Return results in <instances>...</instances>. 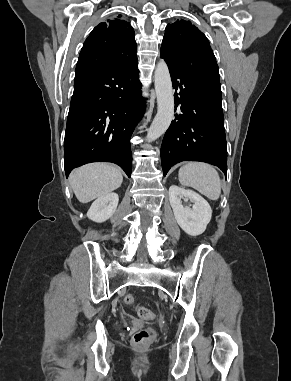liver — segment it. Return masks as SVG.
I'll return each mask as SVG.
<instances>
[{"instance_id":"1","label":"liver","mask_w":291,"mask_h":381,"mask_svg":"<svg viewBox=\"0 0 291 381\" xmlns=\"http://www.w3.org/2000/svg\"><path fill=\"white\" fill-rule=\"evenodd\" d=\"M123 176L121 171L106 163H92L74 170L70 186L81 203H88L119 188Z\"/></svg>"}]
</instances>
